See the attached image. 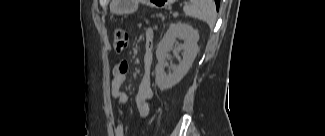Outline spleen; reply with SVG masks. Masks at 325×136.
<instances>
[{
  "label": "spleen",
  "instance_id": "1",
  "mask_svg": "<svg viewBox=\"0 0 325 136\" xmlns=\"http://www.w3.org/2000/svg\"><path fill=\"white\" fill-rule=\"evenodd\" d=\"M187 16L205 21L212 29L216 22V6L213 0H191V4L183 7Z\"/></svg>",
  "mask_w": 325,
  "mask_h": 136
}]
</instances>
